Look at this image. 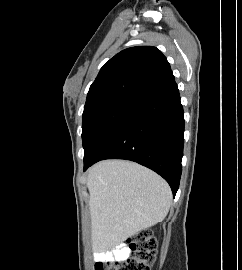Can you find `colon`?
<instances>
[{"mask_svg": "<svg viewBox=\"0 0 242 270\" xmlns=\"http://www.w3.org/2000/svg\"><path fill=\"white\" fill-rule=\"evenodd\" d=\"M128 256L110 267L95 263V270H151L156 260L157 242L147 230H142L128 242Z\"/></svg>", "mask_w": 242, "mask_h": 270, "instance_id": "1", "label": "colon"}]
</instances>
